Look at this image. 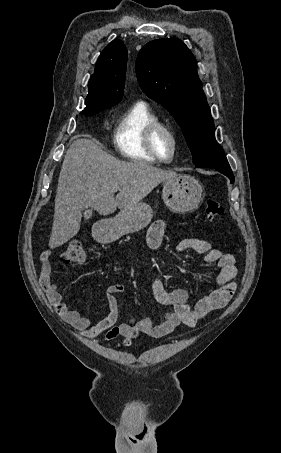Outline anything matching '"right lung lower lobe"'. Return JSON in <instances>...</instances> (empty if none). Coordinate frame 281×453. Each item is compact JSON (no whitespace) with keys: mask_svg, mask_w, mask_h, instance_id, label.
Wrapping results in <instances>:
<instances>
[{"mask_svg":"<svg viewBox=\"0 0 281 453\" xmlns=\"http://www.w3.org/2000/svg\"><path fill=\"white\" fill-rule=\"evenodd\" d=\"M81 113L84 114V115H87V116H91V115L96 114V113H83V112H81Z\"/></svg>","mask_w":281,"mask_h":453,"instance_id":"obj_1","label":"right lung lower lobe"}]
</instances>
